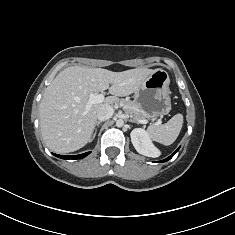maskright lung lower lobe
Instances as JSON below:
<instances>
[{"label":"right lung lower lobe","instance_id":"right-lung-lower-lobe-1","mask_svg":"<svg viewBox=\"0 0 235 235\" xmlns=\"http://www.w3.org/2000/svg\"><path fill=\"white\" fill-rule=\"evenodd\" d=\"M90 152H86V153H83L81 155H73V156H69V155H58V154H53L55 155L56 157H59V158H62V159H81V158H84L86 157L87 155H89Z\"/></svg>","mask_w":235,"mask_h":235}]
</instances>
